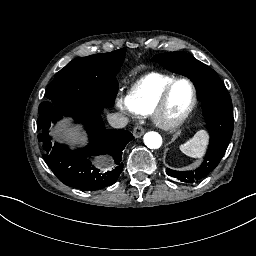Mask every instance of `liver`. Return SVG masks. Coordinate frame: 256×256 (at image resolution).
<instances>
[{
  "label": "liver",
  "mask_w": 256,
  "mask_h": 256,
  "mask_svg": "<svg viewBox=\"0 0 256 256\" xmlns=\"http://www.w3.org/2000/svg\"><path fill=\"white\" fill-rule=\"evenodd\" d=\"M68 126V122H65V124H62L60 127H59V132L62 133L63 129ZM75 133H72V135H74ZM60 136L64 137L63 134H60Z\"/></svg>",
  "instance_id": "obj_1"
}]
</instances>
